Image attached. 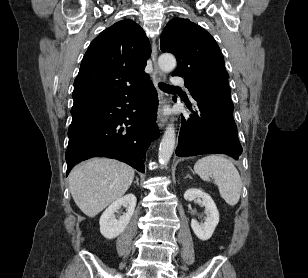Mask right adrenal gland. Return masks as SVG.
Listing matches in <instances>:
<instances>
[{
	"mask_svg": "<svg viewBox=\"0 0 308 278\" xmlns=\"http://www.w3.org/2000/svg\"><path fill=\"white\" fill-rule=\"evenodd\" d=\"M135 183L139 186V179H138V177H136V181L134 182V184Z\"/></svg>",
	"mask_w": 308,
	"mask_h": 278,
	"instance_id": "1",
	"label": "right adrenal gland"
}]
</instances>
